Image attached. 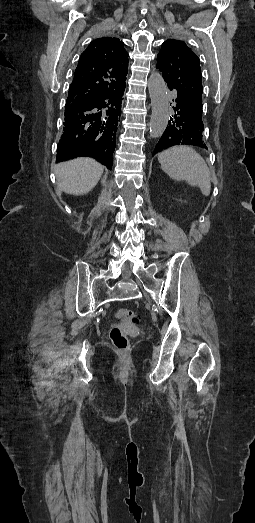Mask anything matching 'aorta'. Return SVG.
Masks as SVG:
<instances>
[{
	"label": "aorta",
	"instance_id": "762f6f07",
	"mask_svg": "<svg viewBox=\"0 0 255 523\" xmlns=\"http://www.w3.org/2000/svg\"><path fill=\"white\" fill-rule=\"evenodd\" d=\"M148 90L152 108L150 135L152 138H158L163 134L169 120L167 87L162 75L158 71H153L150 74Z\"/></svg>",
	"mask_w": 255,
	"mask_h": 523
}]
</instances>
